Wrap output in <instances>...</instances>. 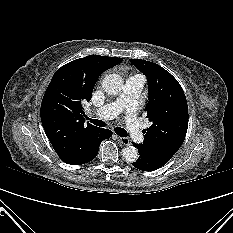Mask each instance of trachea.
<instances>
[{
    "mask_svg": "<svg viewBox=\"0 0 233 233\" xmlns=\"http://www.w3.org/2000/svg\"><path fill=\"white\" fill-rule=\"evenodd\" d=\"M91 123H93L96 126H100V127H105V122H103L102 120H98V119H89ZM115 133L121 137H127V131L124 128H120V127H116L114 129Z\"/></svg>",
    "mask_w": 233,
    "mask_h": 233,
    "instance_id": "3493384b",
    "label": "trachea"
}]
</instances>
